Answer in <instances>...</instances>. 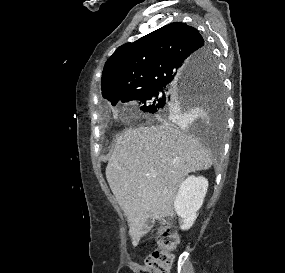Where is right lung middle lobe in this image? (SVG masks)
Here are the masks:
<instances>
[{
  "label": "right lung middle lobe",
  "mask_w": 285,
  "mask_h": 273,
  "mask_svg": "<svg viewBox=\"0 0 285 273\" xmlns=\"http://www.w3.org/2000/svg\"><path fill=\"white\" fill-rule=\"evenodd\" d=\"M205 60L207 65L201 72L188 78L187 86L159 85L122 102L134 100L141 105L142 111L171 119L191 109L207 107L215 114L216 130L221 133L225 123L223 83L210 49L206 52Z\"/></svg>",
  "instance_id": "dd1d6c3e"
}]
</instances>
